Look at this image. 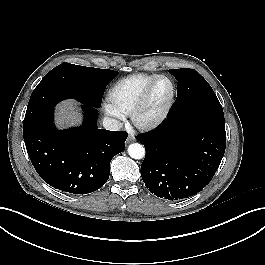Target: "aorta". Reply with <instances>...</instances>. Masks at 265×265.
<instances>
[{
	"mask_svg": "<svg viewBox=\"0 0 265 265\" xmlns=\"http://www.w3.org/2000/svg\"><path fill=\"white\" fill-rule=\"evenodd\" d=\"M128 154L133 159H142L145 156V148L139 143H133L128 146Z\"/></svg>",
	"mask_w": 265,
	"mask_h": 265,
	"instance_id": "aorta-1",
	"label": "aorta"
}]
</instances>
